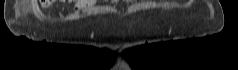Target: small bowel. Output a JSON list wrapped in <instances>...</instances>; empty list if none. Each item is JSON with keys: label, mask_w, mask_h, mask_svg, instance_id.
<instances>
[{"label": "small bowel", "mask_w": 238, "mask_h": 70, "mask_svg": "<svg viewBox=\"0 0 238 70\" xmlns=\"http://www.w3.org/2000/svg\"><path fill=\"white\" fill-rule=\"evenodd\" d=\"M112 2L114 3L115 1H112ZM87 4H88L87 0H78L76 3V9H80Z\"/></svg>", "instance_id": "1"}]
</instances>
